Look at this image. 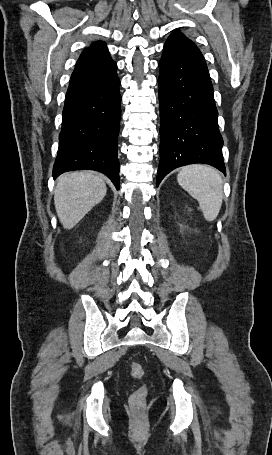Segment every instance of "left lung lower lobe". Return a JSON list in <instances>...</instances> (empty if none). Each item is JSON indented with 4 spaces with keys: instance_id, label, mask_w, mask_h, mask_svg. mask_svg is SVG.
Here are the masks:
<instances>
[{
    "instance_id": "1",
    "label": "left lung lower lobe",
    "mask_w": 272,
    "mask_h": 455,
    "mask_svg": "<svg viewBox=\"0 0 272 455\" xmlns=\"http://www.w3.org/2000/svg\"><path fill=\"white\" fill-rule=\"evenodd\" d=\"M160 163L157 186L173 169L193 163L209 164L226 175L223 139L206 62L161 59Z\"/></svg>"
}]
</instances>
